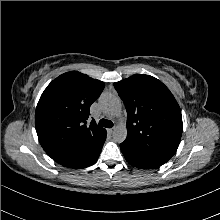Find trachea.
<instances>
[{
  "label": "trachea",
  "instance_id": "trachea-1",
  "mask_svg": "<svg viewBox=\"0 0 220 220\" xmlns=\"http://www.w3.org/2000/svg\"><path fill=\"white\" fill-rule=\"evenodd\" d=\"M99 125L102 127H106V128H112L113 127V122L107 119H101L99 121Z\"/></svg>",
  "mask_w": 220,
  "mask_h": 220
}]
</instances>
